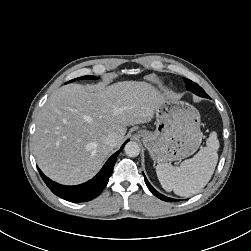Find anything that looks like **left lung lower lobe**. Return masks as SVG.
<instances>
[{
  "instance_id": "obj_1",
  "label": "left lung lower lobe",
  "mask_w": 251,
  "mask_h": 251,
  "mask_svg": "<svg viewBox=\"0 0 251 251\" xmlns=\"http://www.w3.org/2000/svg\"><path fill=\"white\" fill-rule=\"evenodd\" d=\"M143 176H144V180H145V183H146L147 187L149 188V190H150L156 197H158L159 199H161V200H163V201H167V202L176 201L175 199L166 197V196L160 194L159 192H157V191L151 186V184L148 182V180L146 179L144 173H143Z\"/></svg>"
}]
</instances>
